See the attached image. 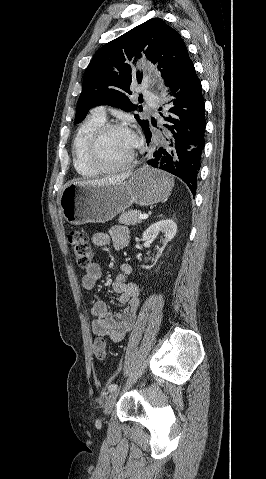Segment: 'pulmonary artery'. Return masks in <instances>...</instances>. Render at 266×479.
<instances>
[{
    "mask_svg": "<svg viewBox=\"0 0 266 479\" xmlns=\"http://www.w3.org/2000/svg\"><path fill=\"white\" fill-rule=\"evenodd\" d=\"M141 91L143 93L144 98H153L152 93H150L146 89H142ZM94 113H96V114H98V115H100L104 118L106 117V109H105L104 106H99V107L95 108Z\"/></svg>",
    "mask_w": 266,
    "mask_h": 479,
    "instance_id": "1",
    "label": "pulmonary artery"
}]
</instances>
